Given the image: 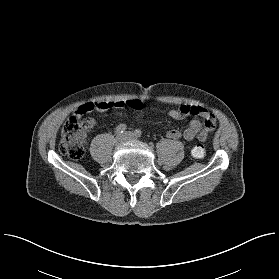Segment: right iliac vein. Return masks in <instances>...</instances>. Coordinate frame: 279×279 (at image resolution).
Masks as SVG:
<instances>
[{"label":"right iliac vein","mask_w":279,"mask_h":279,"mask_svg":"<svg viewBox=\"0 0 279 279\" xmlns=\"http://www.w3.org/2000/svg\"><path fill=\"white\" fill-rule=\"evenodd\" d=\"M123 141H124V137L121 136V135H117L116 138H115V145L116 146H121Z\"/></svg>","instance_id":"63e3f726"}]
</instances>
